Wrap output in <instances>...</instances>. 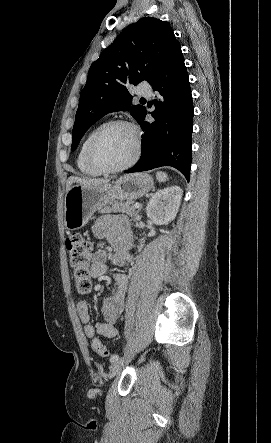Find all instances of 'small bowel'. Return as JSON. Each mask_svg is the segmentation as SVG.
<instances>
[{"label":"small bowel","instance_id":"obj_1","mask_svg":"<svg viewBox=\"0 0 271 443\" xmlns=\"http://www.w3.org/2000/svg\"><path fill=\"white\" fill-rule=\"evenodd\" d=\"M92 232L96 239L108 240L114 247L113 263L117 266L128 264L132 260L130 245L132 235L129 228L113 216H102L98 218L92 226ZM107 251L98 249L91 266L93 278L101 277L109 272L106 266ZM115 288L107 294L103 305V320L93 324L90 319L89 307L86 301L77 304V312L84 326L85 335L94 338L101 335L107 338H114L118 335L115 324L118 321L125 304L129 279L124 274H113Z\"/></svg>","mask_w":271,"mask_h":443}]
</instances>
